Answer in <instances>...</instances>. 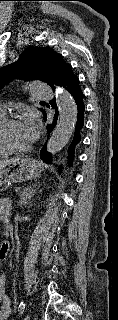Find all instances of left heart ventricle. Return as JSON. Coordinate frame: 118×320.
Listing matches in <instances>:
<instances>
[{"label": "left heart ventricle", "mask_w": 118, "mask_h": 320, "mask_svg": "<svg viewBox=\"0 0 118 320\" xmlns=\"http://www.w3.org/2000/svg\"><path fill=\"white\" fill-rule=\"evenodd\" d=\"M7 141L14 147L22 148L30 145L23 123L10 125L5 132Z\"/></svg>", "instance_id": "left-heart-ventricle-1"}]
</instances>
